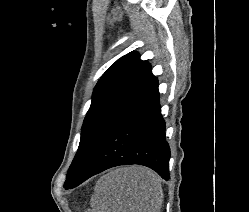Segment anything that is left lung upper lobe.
Masks as SVG:
<instances>
[{
  "mask_svg": "<svg viewBox=\"0 0 249 212\" xmlns=\"http://www.w3.org/2000/svg\"><path fill=\"white\" fill-rule=\"evenodd\" d=\"M154 79L151 65L137 52L122 56L107 69L93 90L79 148L64 186L77 180L112 126Z\"/></svg>",
  "mask_w": 249,
  "mask_h": 212,
  "instance_id": "1",
  "label": "left lung upper lobe"
}]
</instances>
